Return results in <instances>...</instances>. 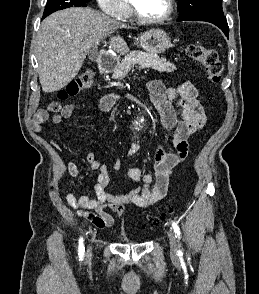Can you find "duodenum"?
<instances>
[{
	"mask_svg": "<svg viewBox=\"0 0 259 294\" xmlns=\"http://www.w3.org/2000/svg\"><path fill=\"white\" fill-rule=\"evenodd\" d=\"M117 65V60L110 54L102 55L98 60V66L101 72L107 73L112 71Z\"/></svg>",
	"mask_w": 259,
	"mask_h": 294,
	"instance_id": "duodenum-1",
	"label": "duodenum"
}]
</instances>
